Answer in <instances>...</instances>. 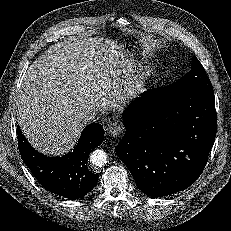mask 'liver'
<instances>
[{"label": "liver", "instance_id": "6515ba94", "mask_svg": "<svg viewBox=\"0 0 231 231\" xmlns=\"http://www.w3.org/2000/svg\"><path fill=\"white\" fill-rule=\"evenodd\" d=\"M121 49L102 37L74 38L55 45L29 66L16 111L34 148L47 155L67 153L85 127L78 118L83 109L118 108L136 94L129 72L122 69Z\"/></svg>", "mask_w": 231, "mask_h": 231}]
</instances>
